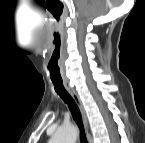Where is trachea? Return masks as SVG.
Masks as SVG:
<instances>
[{
  "instance_id": "1",
  "label": "trachea",
  "mask_w": 145,
  "mask_h": 143,
  "mask_svg": "<svg viewBox=\"0 0 145 143\" xmlns=\"http://www.w3.org/2000/svg\"><path fill=\"white\" fill-rule=\"evenodd\" d=\"M53 85H54V89L57 92V94L68 105V107L71 111V114L73 116V119L75 120L76 124L78 125V127L80 129V142L81 143H88L86 135H85L83 122L81 119L80 110H79L76 102L71 97V95L68 93V91L65 89L62 82H53Z\"/></svg>"
}]
</instances>
